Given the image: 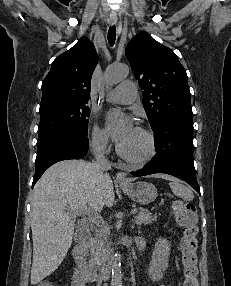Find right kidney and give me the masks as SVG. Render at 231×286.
Here are the masks:
<instances>
[{
    "label": "right kidney",
    "instance_id": "obj_1",
    "mask_svg": "<svg viewBox=\"0 0 231 286\" xmlns=\"http://www.w3.org/2000/svg\"><path fill=\"white\" fill-rule=\"evenodd\" d=\"M85 277L79 268H76L72 277L71 286H85Z\"/></svg>",
    "mask_w": 231,
    "mask_h": 286
}]
</instances>
